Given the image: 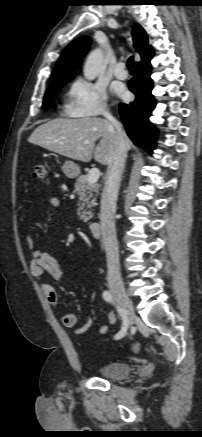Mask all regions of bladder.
<instances>
[{
    "label": "bladder",
    "instance_id": "31cf9c89",
    "mask_svg": "<svg viewBox=\"0 0 202 437\" xmlns=\"http://www.w3.org/2000/svg\"><path fill=\"white\" fill-rule=\"evenodd\" d=\"M97 372L103 378L119 380L130 374L131 366L123 361H110L99 366Z\"/></svg>",
    "mask_w": 202,
    "mask_h": 437
}]
</instances>
